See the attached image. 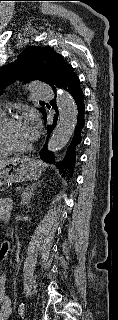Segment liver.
Wrapping results in <instances>:
<instances>
[{"instance_id": "liver-1", "label": "liver", "mask_w": 118, "mask_h": 320, "mask_svg": "<svg viewBox=\"0 0 118 320\" xmlns=\"http://www.w3.org/2000/svg\"><path fill=\"white\" fill-rule=\"evenodd\" d=\"M10 160H0V165H3V164H5V163H7V162H9Z\"/></svg>"}]
</instances>
